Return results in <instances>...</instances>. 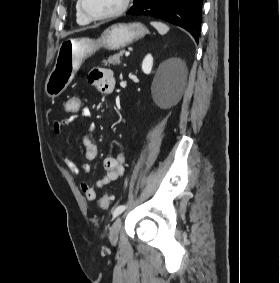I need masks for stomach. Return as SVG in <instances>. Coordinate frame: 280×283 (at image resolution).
Instances as JSON below:
<instances>
[{
    "label": "stomach",
    "mask_w": 280,
    "mask_h": 283,
    "mask_svg": "<svg viewBox=\"0 0 280 283\" xmlns=\"http://www.w3.org/2000/svg\"><path fill=\"white\" fill-rule=\"evenodd\" d=\"M147 28L139 22L113 24L97 39L69 38L61 42L55 65L45 83V93L50 98L59 96L71 83L82 63L99 49L111 51L138 41L147 34Z\"/></svg>",
    "instance_id": "1"
}]
</instances>
